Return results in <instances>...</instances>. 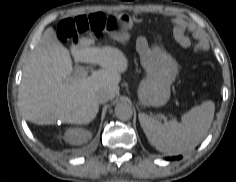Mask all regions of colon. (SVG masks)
<instances>
[{"label":"colon","mask_w":236,"mask_h":182,"mask_svg":"<svg viewBox=\"0 0 236 182\" xmlns=\"http://www.w3.org/2000/svg\"><path fill=\"white\" fill-rule=\"evenodd\" d=\"M117 28L116 21L102 13L81 15L62 20L58 25V36L63 42H76L86 32L101 36Z\"/></svg>","instance_id":"obj_1"}]
</instances>
